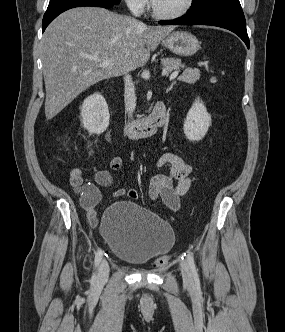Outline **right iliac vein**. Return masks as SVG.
Returning a JSON list of instances; mask_svg holds the SVG:
<instances>
[{
  "label": "right iliac vein",
  "mask_w": 285,
  "mask_h": 332,
  "mask_svg": "<svg viewBox=\"0 0 285 332\" xmlns=\"http://www.w3.org/2000/svg\"><path fill=\"white\" fill-rule=\"evenodd\" d=\"M109 264L106 259H103L100 263L99 269H98V275H97V284H104L108 280L109 276Z\"/></svg>",
  "instance_id": "1"
}]
</instances>
